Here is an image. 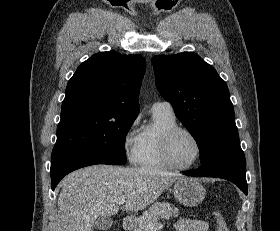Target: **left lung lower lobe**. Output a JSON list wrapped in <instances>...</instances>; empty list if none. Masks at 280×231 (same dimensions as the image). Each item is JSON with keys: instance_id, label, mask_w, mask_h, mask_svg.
Here are the masks:
<instances>
[{"instance_id": "left-lung-lower-lobe-1", "label": "left lung lower lobe", "mask_w": 280, "mask_h": 231, "mask_svg": "<svg viewBox=\"0 0 280 231\" xmlns=\"http://www.w3.org/2000/svg\"><path fill=\"white\" fill-rule=\"evenodd\" d=\"M183 173L196 177H215L229 180L247 195L246 161L240 146L220 153L195 171H183Z\"/></svg>"}]
</instances>
